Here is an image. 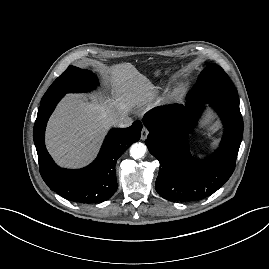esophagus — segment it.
Returning a JSON list of instances; mask_svg holds the SVG:
<instances>
[{"mask_svg": "<svg viewBox=\"0 0 269 269\" xmlns=\"http://www.w3.org/2000/svg\"><path fill=\"white\" fill-rule=\"evenodd\" d=\"M149 134V131L146 127H143L142 131H141V139L145 140L147 138Z\"/></svg>", "mask_w": 269, "mask_h": 269, "instance_id": "1", "label": "esophagus"}]
</instances>
